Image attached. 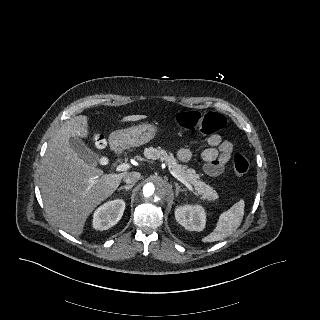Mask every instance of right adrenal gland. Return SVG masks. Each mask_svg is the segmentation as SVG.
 Masks as SVG:
<instances>
[{"mask_svg": "<svg viewBox=\"0 0 320 320\" xmlns=\"http://www.w3.org/2000/svg\"><path fill=\"white\" fill-rule=\"evenodd\" d=\"M133 186H134V184L127 185V186H122V187H120L118 190H119V191L122 190V189L129 190V189L133 188Z\"/></svg>", "mask_w": 320, "mask_h": 320, "instance_id": "1", "label": "right adrenal gland"}]
</instances>
